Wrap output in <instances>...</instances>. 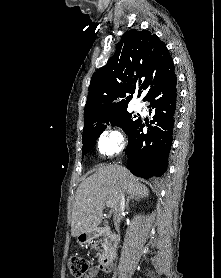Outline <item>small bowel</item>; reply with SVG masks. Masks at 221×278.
Segmentation results:
<instances>
[{"label": "small bowel", "instance_id": "1", "mask_svg": "<svg viewBox=\"0 0 221 278\" xmlns=\"http://www.w3.org/2000/svg\"><path fill=\"white\" fill-rule=\"evenodd\" d=\"M106 272H110V270H105ZM100 272V268L97 266H92L88 272V275L86 278H94L96 277Z\"/></svg>", "mask_w": 221, "mask_h": 278}]
</instances>
